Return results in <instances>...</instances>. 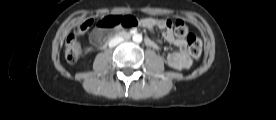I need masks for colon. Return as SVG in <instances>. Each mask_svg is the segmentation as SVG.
Here are the masks:
<instances>
[{
    "label": "colon",
    "instance_id": "5ec220e1",
    "mask_svg": "<svg viewBox=\"0 0 276 120\" xmlns=\"http://www.w3.org/2000/svg\"><path fill=\"white\" fill-rule=\"evenodd\" d=\"M141 18L139 16H126L121 14H113L112 16L104 17L98 19L95 25L100 28H113V27H123V28H136L141 25ZM94 24L93 20H87L75 27V33L68 36L65 44V58L68 62H75L80 54L81 46L77 38L78 34L86 31L90 26ZM167 24L171 26V22L167 21ZM174 32L177 37L180 39L186 40L188 44V50L192 57L199 58L202 53V40L190 32L187 25L181 21L177 20L174 23ZM99 38H103V34L99 35Z\"/></svg>",
    "mask_w": 276,
    "mask_h": 120
}]
</instances>
